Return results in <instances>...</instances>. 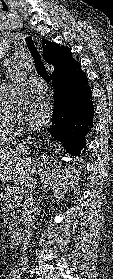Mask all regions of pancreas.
<instances>
[{"label": "pancreas", "instance_id": "cf45deb5", "mask_svg": "<svg viewBox=\"0 0 113 279\" xmlns=\"http://www.w3.org/2000/svg\"><path fill=\"white\" fill-rule=\"evenodd\" d=\"M0 199L3 202L4 206L9 210L15 213L14 219L9 223L8 228L12 229L17 226L21 221V201H22V193L20 190H15L13 188H5L3 193L0 194Z\"/></svg>", "mask_w": 113, "mask_h": 279}]
</instances>
